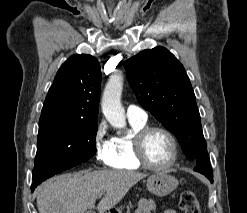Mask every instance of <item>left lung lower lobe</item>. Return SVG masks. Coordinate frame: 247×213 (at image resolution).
<instances>
[{
	"label": "left lung lower lobe",
	"mask_w": 247,
	"mask_h": 213,
	"mask_svg": "<svg viewBox=\"0 0 247 213\" xmlns=\"http://www.w3.org/2000/svg\"><path fill=\"white\" fill-rule=\"evenodd\" d=\"M197 166L195 171L204 174L211 182H213V172L210 166V159L207 150H204L197 158Z\"/></svg>",
	"instance_id": "left-lung-lower-lobe-1"
}]
</instances>
